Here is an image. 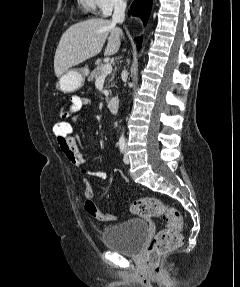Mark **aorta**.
I'll return each instance as SVG.
<instances>
[{
    "label": "aorta",
    "instance_id": "762f6f07",
    "mask_svg": "<svg viewBox=\"0 0 240 287\" xmlns=\"http://www.w3.org/2000/svg\"><path fill=\"white\" fill-rule=\"evenodd\" d=\"M121 138H122V139L124 138V135H123V134L121 135Z\"/></svg>",
    "mask_w": 240,
    "mask_h": 287
}]
</instances>
